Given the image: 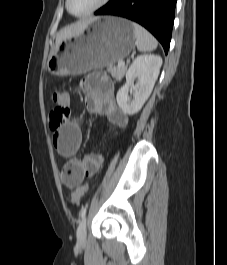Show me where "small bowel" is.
<instances>
[{"label":"small bowel","mask_w":227,"mask_h":265,"mask_svg":"<svg viewBox=\"0 0 227 265\" xmlns=\"http://www.w3.org/2000/svg\"><path fill=\"white\" fill-rule=\"evenodd\" d=\"M85 92V105L89 112L105 116L118 129L128 124V116L118 107L114 98V88L105 72H91L82 82ZM82 143V131L78 120H72L54 131L53 145L64 158L69 174L62 176L69 187L80 185L87 177L94 176L103 164L101 154H88L82 160L75 158Z\"/></svg>","instance_id":"small-bowel-1"}]
</instances>
